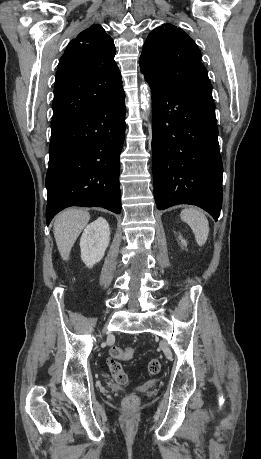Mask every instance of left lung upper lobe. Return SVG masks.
<instances>
[{
	"instance_id": "5c2ea615",
	"label": "left lung upper lobe",
	"mask_w": 261,
	"mask_h": 459,
	"mask_svg": "<svg viewBox=\"0 0 261 459\" xmlns=\"http://www.w3.org/2000/svg\"><path fill=\"white\" fill-rule=\"evenodd\" d=\"M139 65L145 77L163 85L212 94L197 45L182 29L171 24H163L148 35Z\"/></svg>"
}]
</instances>
